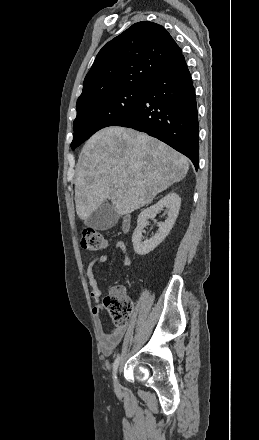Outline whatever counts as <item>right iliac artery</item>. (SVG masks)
Masks as SVG:
<instances>
[{
  "label": "right iliac artery",
  "instance_id": "right-iliac-artery-1",
  "mask_svg": "<svg viewBox=\"0 0 259 440\" xmlns=\"http://www.w3.org/2000/svg\"><path fill=\"white\" fill-rule=\"evenodd\" d=\"M120 362V354L116 357L114 363H113V378L115 379L116 377V372H117V368Z\"/></svg>",
  "mask_w": 259,
  "mask_h": 440
}]
</instances>
